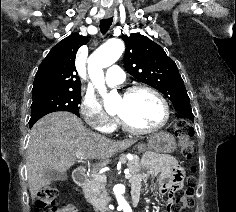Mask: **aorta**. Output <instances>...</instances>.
<instances>
[{"label":"aorta","mask_w":236,"mask_h":212,"mask_svg":"<svg viewBox=\"0 0 236 212\" xmlns=\"http://www.w3.org/2000/svg\"><path fill=\"white\" fill-rule=\"evenodd\" d=\"M124 51V44L120 39H111L100 46L88 59L89 77L104 99L105 105H110L115 101V94H108L105 86L103 68L115 63ZM113 192L118 203V208L123 212H132V208L124 197V188L117 184L113 187Z\"/></svg>","instance_id":"aorta-1"}]
</instances>
